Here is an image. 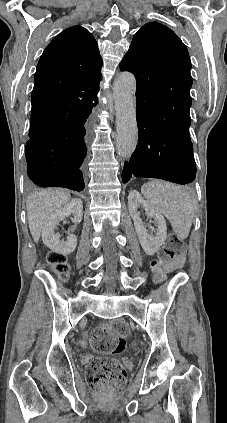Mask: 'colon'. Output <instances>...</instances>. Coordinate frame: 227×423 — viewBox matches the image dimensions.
I'll list each match as a JSON object with an SVG mask.
<instances>
[{"mask_svg":"<svg viewBox=\"0 0 227 423\" xmlns=\"http://www.w3.org/2000/svg\"><path fill=\"white\" fill-rule=\"evenodd\" d=\"M183 251L181 240L170 234L165 247L160 251L158 258L151 264L155 280L162 282L171 262L176 260ZM47 260L61 279L66 280L69 266L65 256L50 252ZM126 326L117 322L111 325L97 327L91 336L93 350L102 356L96 357L88 365L87 381L103 394H113L119 391L126 379L123 365L107 355L118 354L126 348Z\"/></svg>","mask_w":227,"mask_h":423,"instance_id":"5ec220e1","label":"colon"}]
</instances>
